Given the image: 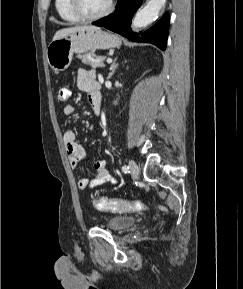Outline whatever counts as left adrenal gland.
<instances>
[{
  "instance_id": "1",
  "label": "left adrenal gland",
  "mask_w": 243,
  "mask_h": 289,
  "mask_svg": "<svg viewBox=\"0 0 243 289\" xmlns=\"http://www.w3.org/2000/svg\"><path fill=\"white\" fill-rule=\"evenodd\" d=\"M118 64L116 63V58L114 59L113 63L111 64V67H110V73L108 75V78H111L112 75L114 74L115 72V69L117 68Z\"/></svg>"
}]
</instances>
